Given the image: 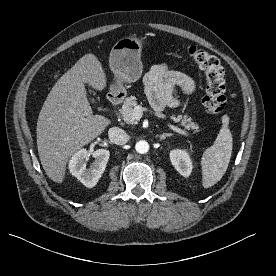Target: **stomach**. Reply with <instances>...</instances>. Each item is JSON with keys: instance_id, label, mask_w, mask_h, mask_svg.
<instances>
[{"instance_id": "0dacf381", "label": "stomach", "mask_w": 276, "mask_h": 276, "mask_svg": "<svg viewBox=\"0 0 276 276\" xmlns=\"http://www.w3.org/2000/svg\"><path fill=\"white\" fill-rule=\"evenodd\" d=\"M145 44L143 39L123 38L116 42L109 56V66L113 71L116 83L110 92H124V83L137 81L142 73L141 50Z\"/></svg>"}]
</instances>
